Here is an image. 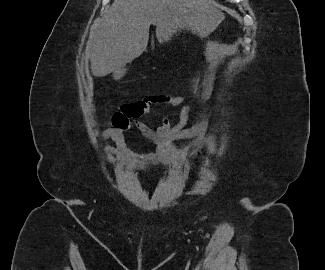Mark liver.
I'll return each mask as SVG.
<instances>
[{"label": "liver", "instance_id": "1", "mask_svg": "<svg viewBox=\"0 0 325 270\" xmlns=\"http://www.w3.org/2000/svg\"><path fill=\"white\" fill-rule=\"evenodd\" d=\"M224 18L208 0H114L93 25L87 42L92 74L123 77L125 65L146 50L151 24L163 43L184 29L203 38Z\"/></svg>", "mask_w": 325, "mask_h": 270}]
</instances>
